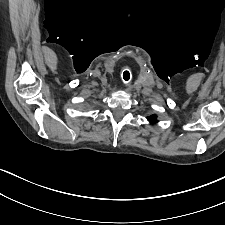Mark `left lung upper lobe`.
Returning <instances> with one entry per match:
<instances>
[{
    "label": "left lung upper lobe",
    "mask_w": 225,
    "mask_h": 225,
    "mask_svg": "<svg viewBox=\"0 0 225 225\" xmlns=\"http://www.w3.org/2000/svg\"><path fill=\"white\" fill-rule=\"evenodd\" d=\"M156 118H157L156 115H151V116L147 117V119L149 120L150 123H156L157 122Z\"/></svg>",
    "instance_id": "left-lung-upper-lobe-1"
}]
</instances>
